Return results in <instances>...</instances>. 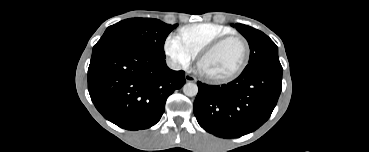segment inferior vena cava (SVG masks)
<instances>
[{
	"instance_id": "1",
	"label": "inferior vena cava",
	"mask_w": 369,
	"mask_h": 152,
	"mask_svg": "<svg viewBox=\"0 0 369 152\" xmlns=\"http://www.w3.org/2000/svg\"><path fill=\"white\" fill-rule=\"evenodd\" d=\"M167 65L170 69L172 70H181L182 69V65L180 63H178L175 60L172 59H167Z\"/></svg>"
}]
</instances>
